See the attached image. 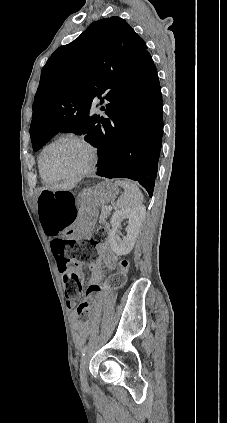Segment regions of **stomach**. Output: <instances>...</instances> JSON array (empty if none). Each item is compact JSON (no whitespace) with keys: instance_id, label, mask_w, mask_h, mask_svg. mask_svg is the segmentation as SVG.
<instances>
[{"instance_id":"0dacf381","label":"stomach","mask_w":227,"mask_h":423,"mask_svg":"<svg viewBox=\"0 0 227 423\" xmlns=\"http://www.w3.org/2000/svg\"><path fill=\"white\" fill-rule=\"evenodd\" d=\"M118 192L117 186H113L109 180L94 184L92 188H87V190L81 192L77 200L78 210L81 208V204H90L92 208L105 206V204H109V202L115 200Z\"/></svg>"}]
</instances>
